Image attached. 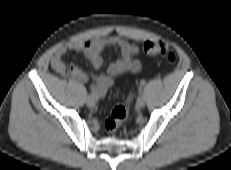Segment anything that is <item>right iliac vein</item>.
<instances>
[{
  "label": "right iliac vein",
  "instance_id": "1",
  "mask_svg": "<svg viewBox=\"0 0 231 170\" xmlns=\"http://www.w3.org/2000/svg\"><path fill=\"white\" fill-rule=\"evenodd\" d=\"M86 104H87L88 107L93 108L95 106V104H96V101L91 96H88L86 98Z\"/></svg>",
  "mask_w": 231,
  "mask_h": 170
}]
</instances>
